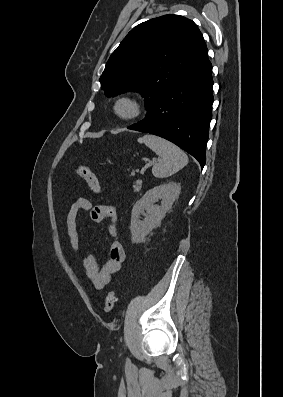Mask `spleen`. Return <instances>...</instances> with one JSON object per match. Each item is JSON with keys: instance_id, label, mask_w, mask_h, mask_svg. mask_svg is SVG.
<instances>
[{"instance_id": "spleen-1", "label": "spleen", "mask_w": 283, "mask_h": 397, "mask_svg": "<svg viewBox=\"0 0 283 397\" xmlns=\"http://www.w3.org/2000/svg\"><path fill=\"white\" fill-rule=\"evenodd\" d=\"M160 156V161L152 168L156 178L172 176L188 164V156L175 144L155 135L146 134L138 139Z\"/></svg>"}]
</instances>
